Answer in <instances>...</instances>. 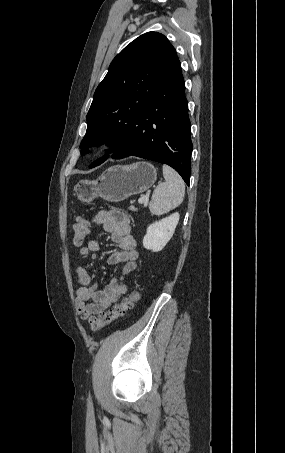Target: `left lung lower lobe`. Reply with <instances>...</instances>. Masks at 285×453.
<instances>
[{
    "mask_svg": "<svg viewBox=\"0 0 285 453\" xmlns=\"http://www.w3.org/2000/svg\"><path fill=\"white\" fill-rule=\"evenodd\" d=\"M192 150L185 84L176 56L111 158L137 156L167 164L189 185Z\"/></svg>",
    "mask_w": 285,
    "mask_h": 453,
    "instance_id": "left-lung-lower-lobe-1",
    "label": "left lung lower lobe"
}]
</instances>
